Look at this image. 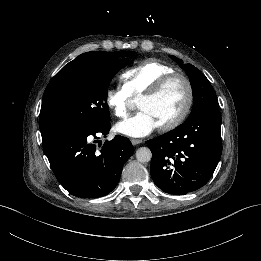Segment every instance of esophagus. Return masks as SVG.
<instances>
[{
    "mask_svg": "<svg viewBox=\"0 0 261 261\" xmlns=\"http://www.w3.org/2000/svg\"><path fill=\"white\" fill-rule=\"evenodd\" d=\"M131 143H132L133 145H137V144L142 143V140H141V139L132 138V139H131Z\"/></svg>",
    "mask_w": 261,
    "mask_h": 261,
    "instance_id": "esophagus-1",
    "label": "esophagus"
}]
</instances>
